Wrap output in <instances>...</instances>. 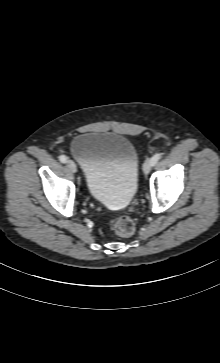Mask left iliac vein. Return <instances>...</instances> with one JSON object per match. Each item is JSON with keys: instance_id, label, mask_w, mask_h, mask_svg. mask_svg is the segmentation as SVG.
<instances>
[{"instance_id": "1", "label": "left iliac vein", "mask_w": 220, "mask_h": 363, "mask_svg": "<svg viewBox=\"0 0 220 363\" xmlns=\"http://www.w3.org/2000/svg\"><path fill=\"white\" fill-rule=\"evenodd\" d=\"M151 167H152V165H151L150 159H147L143 164V172L145 174H148L151 170Z\"/></svg>"}]
</instances>
